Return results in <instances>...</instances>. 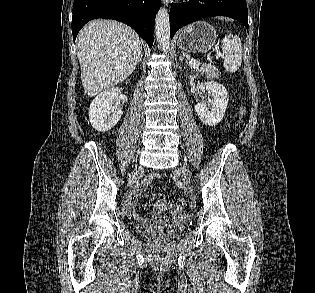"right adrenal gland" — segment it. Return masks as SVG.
<instances>
[{
  "instance_id": "2a0ac1e0",
  "label": "right adrenal gland",
  "mask_w": 315,
  "mask_h": 293,
  "mask_svg": "<svg viewBox=\"0 0 315 293\" xmlns=\"http://www.w3.org/2000/svg\"><path fill=\"white\" fill-rule=\"evenodd\" d=\"M142 57H143V55H141V57H140V59H139V62H142Z\"/></svg>"
}]
</instances>
